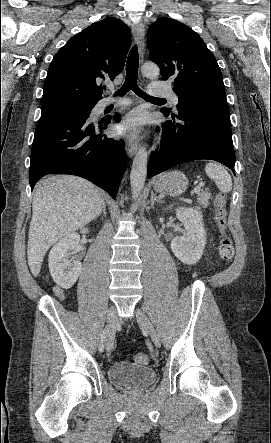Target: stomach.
<instances>
[{"label": "stomach", "mask_w": 271, "mask_h": 443, "mask_svg": "<svg viewBox=\"0 0 271 443\" xmlns=\"http://www.w3.org/2000/svg\"><path fill=\"white\" fill-rule=\"evenodd\" d=\"M188 188V180L182 172H167L159 176L154 182V190L157 194H169V196H180Z\"/></svg>", "instance_id": "0dacf381"}]
</instances>
